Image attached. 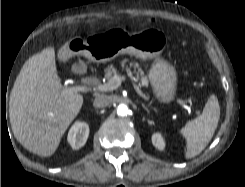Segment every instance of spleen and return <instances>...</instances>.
Wrapping results in <instances>:
<instances>
[{"instance_id": "1", "label": "spleen", "mask_w": 245, "mask_h": 187, "mask_svg": "<svg viewBox=\"0 0 245 187\" xmlns=\"http://www.w3.org/2000/svg\"><path fill=\"white\" fill-rule=\"evenodd\" d=\"M220 118V106L217 97L212 94L201 115L188 121L180 134L186 140L185 158L200 154L212 139Z\"/></svg>"}]
</instances>
